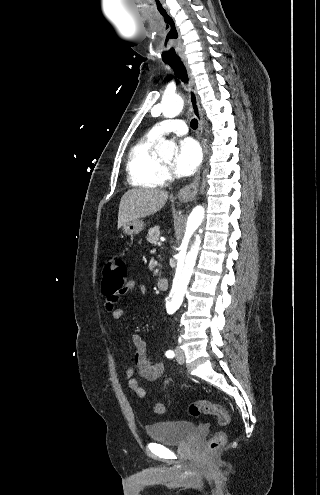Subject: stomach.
<instances>
[{"label":"stomach","instance_id":"0dacf381","mask_svg":"<svg viewBox=\"0 0 320 495\" xmlns=\"http://www.w3.org/2000/svg\"><path fill=\"white\" fill-rule=\"evenodd\" d=\"M144 229V222L141 219L131 220L123 225V232L127 235L139 234Z\"/></svg>","mask_w":320,"mask_h":495}]
</instances>
